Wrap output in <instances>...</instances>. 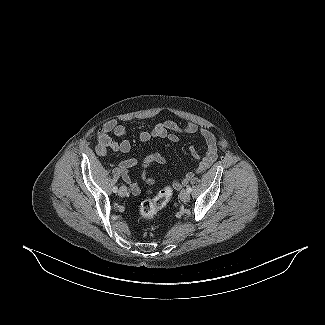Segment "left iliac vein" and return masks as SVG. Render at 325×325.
Here are the masks:
<instances>
[{
	"label": "left iliac vein",
	"instance_id": "obj_1",
	"mask_svg": "<svg viewBox=\"0 0 325 325\" xmlns=\"http://www.w3.org/2000/svg\"><path fill=\"white\" fill-rule=\"evenodd\" d=\"M180 199L183 201V202H187L189 199H190V194L187 190L183 189L181 190L180 192Z\"/></svg>",
	"mask_w": 325,
	"mask_h": 325
}]
</instances>
